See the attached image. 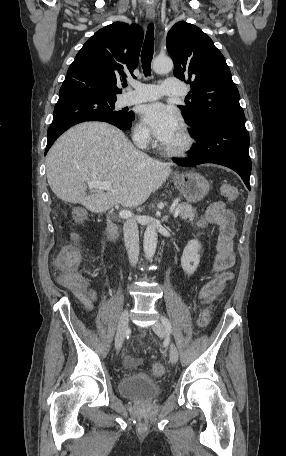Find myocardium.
<instances>
[{"mask_svg":"<svg viewBox=\"0 0 286 456\" xmlns=\"http://www.w3.org/2000/svg\"><path fill=\"white\" fill-rule=\"evenodd\" d=\"M181 143L174 147L162 146V150L173 156H181L187 154L195 145V138L191 131L186 127L182 126L180 129Z\"/></svg>","mask_w":286,"mask_h":456,"instance_id":"obj_1","label":"myocardium"}]
</instances>
